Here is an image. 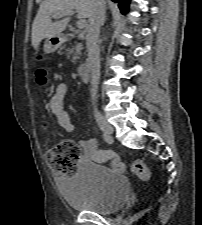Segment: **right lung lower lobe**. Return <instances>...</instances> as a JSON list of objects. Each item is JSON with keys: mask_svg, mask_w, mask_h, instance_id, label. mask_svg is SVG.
I'll list each match as a JSON object with an SVG mask.
<instances>
[{"mask_svg": "<svg viewBox=\"0 0 202 225\" xmlns=\"http://www.w3.org/2000/svg\"><path fill=\"white\" fill-rule=\"evenodd\" d=\"M112 1L118 3V6L122 13H126L128 11L130 0H112Z\"/></svg>", "mask_w": 202, "mask_h": 225, "instance_id": "1", "label": "right lung lower lobe"}]
</instances>
